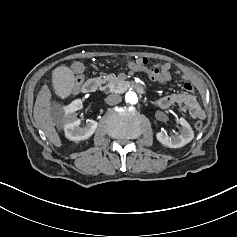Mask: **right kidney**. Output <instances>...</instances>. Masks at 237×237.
<instances>
[{
	"label": "right kidney",
	"mask_w": 237,
	"mask_h": 237,
	"mask_svg": "<svg viewBox=\"0 0 237 237\" xmlns=\"http://www.w3.org/2000/svg\"><path fill=\"white\" fill-rule=\"evenodd\" d=\"M82 108V100L76 99L68 106L67 121L64 126V132L66 138L71 141H80L88 139L95 132L98 123L94 120H90L84 126H81V120L77 117V111Z\"/></svg>",
	"instance_id": "1"
}]
</instances>
